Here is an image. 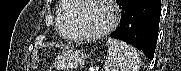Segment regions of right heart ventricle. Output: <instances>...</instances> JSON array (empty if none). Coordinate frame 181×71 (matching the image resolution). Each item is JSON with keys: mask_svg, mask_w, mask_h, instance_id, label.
<instances>
[{"mask_svg": "<svg viewBox=\"0 0 181 71\" xmlns=\"http://www.w3.org/2000/svg\"><path fill=\"white\" fill-rule=\"evenodd\" d=\"M74 10V4L68 1H61L58 7V32L66 39H76L73 36L71 27V17Z\"/></svg>", "mask_w": 181, "mask_h": 71, "instance_id": "obj_1", "label": "right heart ventricle"}]
</instances>
